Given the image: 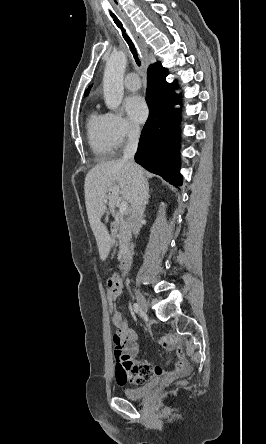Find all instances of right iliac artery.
<instances>
[{"mask_svg":"<svg viewBox=\"0 0 266 444\" xmlns=\"http://www.w3.org/2000/svg\"><path fill=\"white\" fill-rule=\"evenodd\" d=\"M133 309H134V312H135V313H139V311H140V307H139V305L136 304V303L133 305Z\"/></svg>","mask_w":266,"mask_h":444,"instance_id":"1","label":"right iliac artery"}]
</instances>
